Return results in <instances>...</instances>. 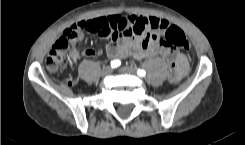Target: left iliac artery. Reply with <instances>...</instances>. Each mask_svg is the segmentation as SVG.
Wrapping results in <instances>:
<instances>
[{
	"label": "left iliac artery",
	"mask_w": 245,
	"mask_h": 145,
	"mask_svg": "<svg viewBox=\"0 0 245 145\" xmlns=\"http://www.w3.org/2000/svg\"><path fill=\"white\" fill-rule=\"evenodd\" d=\"M137 74L140 76V77H144L146 75V72L145 70L143 69H138L137 70Z\"/></svg>",
	"instance_id": "1"
}]
</instances>
